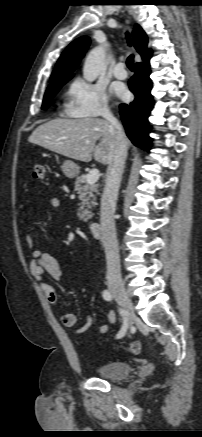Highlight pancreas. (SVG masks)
Masks as SVG:
<instances>
[{
  "label": "pancreas",
  "mask_w": 202,
  "mask_h": 437,
  "mask_svg": "<svg viewBox=\"0 0 202 437\" xmlns=\"http://www.w3.org/2000/svg\"><path fill=\"white\" fill-rule=\"evenodd\" d=\"M87 175L82 174L76 178L74 191L79 195L80 203L78 209V217L85 222L92 218L93 214L90 209L97 205L96 194H98L99 184H87Z\"/></svg>",
  "instance_id": "cf45deb5"
}]
</instances>
